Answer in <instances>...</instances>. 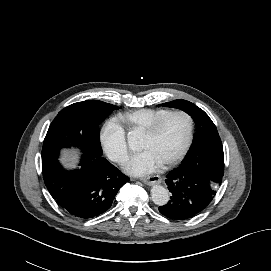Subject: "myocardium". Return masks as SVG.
<instances>
[{"label":"myocardium","mask_w":271,"mask_h":271,"mask_svg":"<svg viewBox=\"0 0 271 271\" xmlns=\"http://www.w3.org/2000/svg\"><path fill=\"white\" fill-rule=\"evenodd\" d=\"M178 114H182V115L186 116L189 121L188 137H187V140H186L184 146L182 147V149L175 156H173L172 158L167 159L163 162H160V165H162V166H171V165L177 164L188 153V151L191 148V145L193 143V139H194L195 122H194L193 116L185 110H181V109L173 110V111H170L169 113L165 114L161 118L157 119L155 122H153L151 125H149L142 132L143 135L146 137L153 136L154 134H156L159 131V129L163 126V124L169 118H171L172 116L178 115Z\"/></svg>","instance_id":"f54148a6"}]
</instances>
